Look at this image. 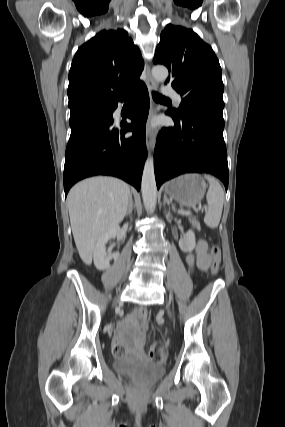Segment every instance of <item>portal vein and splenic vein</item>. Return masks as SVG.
I'll return each instance as SVG.
<instances>
[{"mask_svg":"<svg viewBox=\"0 0 285 427\" xmlns=\"http://www.w3.org/2000/svg\"><path fill=\"white\" fill-rule=\"evenodd\" d=\"M178 213L181 215H190L191 214L190 211H186V210H178Z\"/></svg>","mask_w":285,"mask_h":427,"instance_id":"obj_1","label":"portal vein and splenic vein"}]
</instances>
